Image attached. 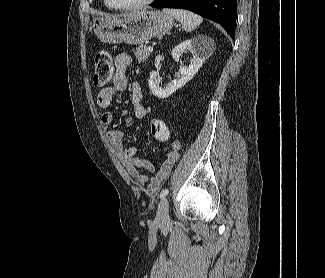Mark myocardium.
Here are the masks:
<instances>
[{"mask_svg": "<svg viewBox=\"0 0 325 278\" xmlns=\"http://www.w3.org/2000/svg\"><path fill=\"white\" fill-rule=\"evenodd\" d=\"M109 8L115 9V10H122V11H129V10H137L144 7L149 6L152 4L155 0H143L139 3L130 4V5H116L111 0H105Z\"/></svg>", "mask_w": 325, "mask_h": 278, "instance_id": "1", "label": "myocardium"}]
</instances>
